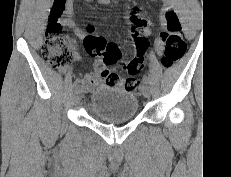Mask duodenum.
<instances>
[{
	"mask_svg": "<svg viewBox=\"0 0 231 177\" xmlns=\"http://www.w3.org/2000/svg\"><path fill=\"white\" fill-rule=\"evenodd\" d=\"M100 1H102V2H106V1H109V0H100Z\"/></svg>",
	"mask_w": 231,
	"mask_h": 177,
	"instance_id": "duodenum-1",
	"label": "duodenum"
}]
</instances>
